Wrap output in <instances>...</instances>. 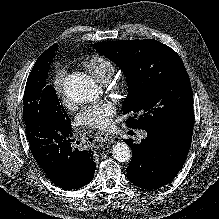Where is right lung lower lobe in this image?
<instances>
[{
	"mask_svg": "<svg viewBox=\"0 0 219 219\" xmlns=\"http://www.w3.org/2000/svg\"><path fill=\"white\" fill-rule=\"evenodd\" d=\"M26 132L34 159L56 186L77 189L92 180L95 172L92 151L74 148L75 132L71 126L41 114L26 123Z\"/></svg>",
	"mask_w": 219,
	"mask_h": 219,
	"instance_id": "1",
	"label": "right lung lower lobe"
}]
</instances>
